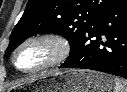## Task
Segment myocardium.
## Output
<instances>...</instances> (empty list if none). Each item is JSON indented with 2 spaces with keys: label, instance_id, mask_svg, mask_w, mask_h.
<instances>
[{
  "label": "myocardium",
  "instance_id": "obj_1",
  "mask_svg": "<svg viewBox=\"0 0 127 92\" xmlns=\"http://www.w3.org/2000/svg\"><path fill=\"white\" fill-rule=\"evenodd\" d=\"M37 42H43L47 43L51 46L53 55L51 59L45 63L44 65H41L39 67L30 69V70H24L21 69L16 62L17 56L19 52L27 45L31 43H37ZM71 53V43L69 39L58 32H41L38 34L31 35L27 38H25L15 49L13 56H12V63L14 67L26 74H31V73H37L40 71H44L47 69H50L52 67H55L65 61Z\"/></svg>",
  "mask_w": 127,
  "mask_h": 92
}]
</instances>
